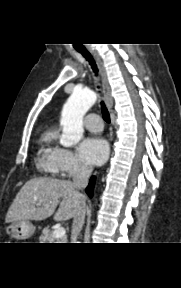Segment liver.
I'll return each mask as SVG.
<instances>
[{"label": "liver", "instance_id": "1", "mask_svg": "<svg viewBox=\"0 0 181 288\" xmlns=\"http://www.w3.org/2000/svg\"><path fill=\"white\" fill-rule=\"evenodd\" d=\"M86 197L71 181L39 177L27 181L11 204L5 222L41 221L54 215L55 221L74 218ZM40 202L41 205H37Z\"/></svg>", "mask_w": 181, "mask_h": 288}]
</instances>
